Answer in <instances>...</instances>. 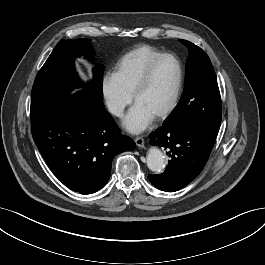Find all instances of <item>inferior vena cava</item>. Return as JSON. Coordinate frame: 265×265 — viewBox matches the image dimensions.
<instances>
[{"label": "inferior vena cava", "mask_w": 265, "mask_h": 265, "mask_svg": "<svg viewBox=\"0 0 265 265\" xmlns=\"http://www.w3.org/2000/svg\"><path fill=\"white\" fill-rule=\"evenodd\" d=\"M107 106H108L109 111L112 114H114L116 116H121L122 115V113H123V107L121 105H117L115 103L109 102L107 104Z\"/></svg>", "instance_id": "1"}]
</instances>
